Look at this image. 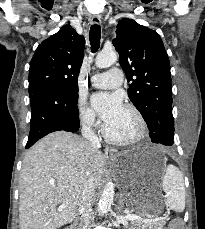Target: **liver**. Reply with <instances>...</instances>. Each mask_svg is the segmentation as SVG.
<instances>
[{
  "instance_id": "obj_1",
  "label": "liver",
  "mask_w": 205,
  "mask_h": 229,
  "mask_svg": "<svg viewBox=\"0 0 205 229\" xmlns=\"http://www.w3.org/2000/svg\"><path fill=\"white\" fill-rule=\"evenodd\" d=\"M105 158L81 137L64 131L48 134L26 153L19 186L20 229H58L78 214L91 172L97 187Z\"/></svg>"
}]
</instances>
